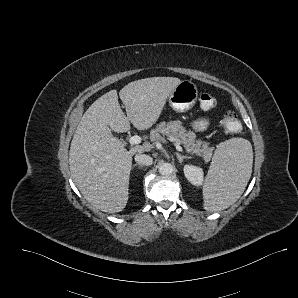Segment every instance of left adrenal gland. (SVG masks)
<instances>
[{
	"label": "left adrenal gland",
	"mask_w": 298,
	"mask_h": 298,
	"mask_svg": "<svg viewBox=\"0 0 298 298\" xmlns=\"http://www.w3.org/2000/svg\"><path fill=\"white\" fill-rule=\"evenodd\" d=\"M176 156L178 161H182L183 159H186V158H192L191 155H188V154L182 155L179 152H176Z\"/></svg>",
	"instance_id": "a2214340"
}]
</instances>
